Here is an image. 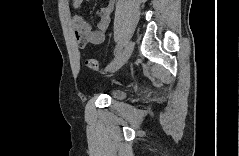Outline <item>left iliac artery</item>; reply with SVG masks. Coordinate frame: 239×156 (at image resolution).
Returning a JSON list of instances; mask_svg holds the SVG:
<instances>
[{
	"mask_svg": "<svg viewBox=\"0 0 239 156\" xmlns=\"http://www.w3.org/2000/svg\"><path fill=\"white\" fill-rule=\"evenodd\" d=\"M121 53H122V44H119L115 58L107 65L106 70H109L110 68H112L113 66H115L118 63V61L121 58Z\"/></svg>",
	"mask_w": 239,
	"mask_h": 156,
	"instance_id": "1",
	"label": "left iliac artery"
}]
</instances>
